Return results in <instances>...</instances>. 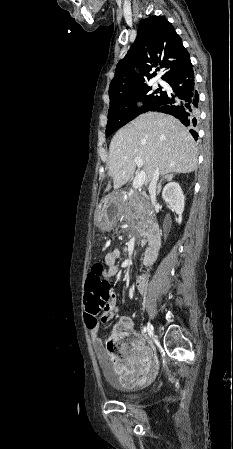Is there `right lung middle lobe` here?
Wrapping results in <instances>:
<instances>
[{"label":"right lung middle lobe","mask_w":233,"mask_h":449,"mask_svg":"<svg viewBox=\"0 0 233 449\" xmlns=\"http://www.w3.org/2000/svg\"><path fill=\"white\" fill-rule=\"evenodd\" d=\"M151 89L152 87L144 86L110 99L106 137L141 113L148 110L153 111L158 106L166 92L162 91L161 88L154 92H151ZM139 99L144 102V107L141 109L135 106Z\"/></svg>","instance_id":"right-lung-middle-lobe-1"}]
</instances>
